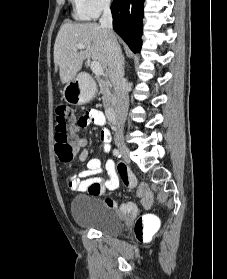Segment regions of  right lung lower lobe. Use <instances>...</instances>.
I'll return each mask as SVG.
<instances>
[{
  "label": "right lung lower lobe",
  "mask_w": 227,
  "mask_h": 279,
  "mask_svg": "<svg viewBox=\"0 0 227 279\" xmlns=\"http://www.w3.org/2000/svg\"><path fill=\"white\" fill-rule=\"evenodd\" d=\"M143 4L144 0H114L111 5L113 29L134 52L141 49Z\"/></svg>",
  "instance_id": "98d812e1"
}]
</instances>
